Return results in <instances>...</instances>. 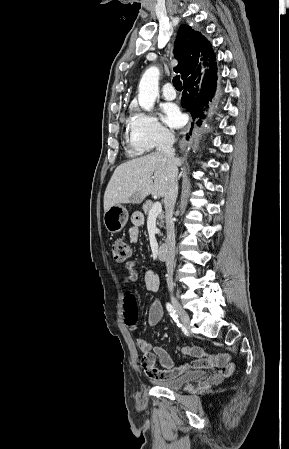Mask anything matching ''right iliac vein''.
Listing matches in <instances>:
<instances>
[{"mask_svg":"<svg viewBox=\"0 0 289 449\" xmlns=\"http://www.w3.org/2000/svg\"><path fill=\"white\" fill-rule=\"evenodd\" d=\"M171 300H172V304L174 305L183 325L186 328H190V318H189V315L187 314V312L181 307L179 302L173 296L171 297Z\"/></svg>","mask_w":289,"mask_h":449,"instance_id":"1","label":"right iliac vein"}]
</instances>
